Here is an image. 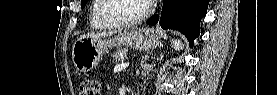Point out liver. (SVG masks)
<instances>
[{"mask_svg":"<svg viewBox=\"0 0 277 95\" xmlns=\"http://www.w3.org/2000/svg\"><path fill=\"white\" fill-rule=\"evenodd\" d=\"M112 34H113L112 32H109V33H106V32H102V33H89V34L83 35L81 37H89V38H93V39H98V38H104V37L110 36Z\"/></svg>","mask_w":277,"mask_h":95,"instance_id":"liver-1","label":"liver"}]
</instances>
